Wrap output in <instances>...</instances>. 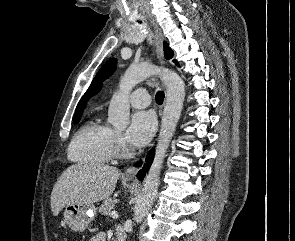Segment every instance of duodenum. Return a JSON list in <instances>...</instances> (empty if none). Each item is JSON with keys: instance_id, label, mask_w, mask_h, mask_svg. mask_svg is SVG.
<instances>
[{"instance_id": "obj_1", "label": "duodenum", "mask_w": 295, "mask_h": 241, "mask_svg": "<svg viewBox=\"0 0 295 241\" xmlns=\"http://www.w3.org/2000/svg\"><path fill=\"white\" fill-rule=\"evenodd\" d=\"M116 241H125V238L121 233H119L116 237Z\"/></svg>"}]
</instances>
